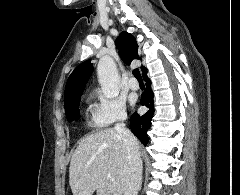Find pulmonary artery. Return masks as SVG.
<instances>
[{
  "instance_id": "e3ab8cb5",
  "label": "pulmonary artery",
  "mask_w": 240,
  "mask_h": 195,
  "mask_svg": "<svg viewBox=\"0 0 240 195\" xmlns=\"http://www.w3.org/2000/svg\"><path fill=\"white\" fill-rule=\"evenodd\" d=\"M128 85H129V87L131 88V89H133V90H138L139 89V83L137 82V80H135V79H130L129 81H128Z\"/></svg>"
}]
</instances>
